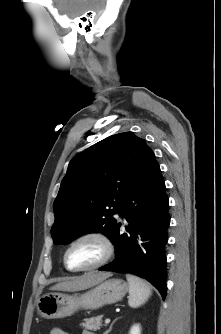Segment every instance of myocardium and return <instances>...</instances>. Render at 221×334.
Wrapping results in <instances>:
<instances>
[{"mask_svg": "<svg viewBox=\"0 0 221 334\" xmlns=\"http://www.w3.org/2000/svg\"><path fill=\"white\" fill-rule=\"evenodd\" d=\"M84 240H95L99 242L103 248V255L96 263L90 266L81 267V268H73L68 263L69 252L74 245ZM114 251H115L114 243L107 234L101 231H97V230H90V231H86V232L79 234L78 236H76L74 239L70 241V243L67 245L65 249V252L63 255V262H64L65 267L69 271H72V272L92 271V270H95V269H98L104 266L112 258Z\"/></svg>", "mask_w": 221, "mask_h": 334, "instance_id": "f54148a6", "label": "myocardium"}]
</instances>
